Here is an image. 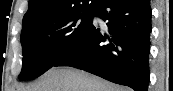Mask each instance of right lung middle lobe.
<instances>
[{"instance_id": "dd1d6c3e", "label": "right lung middle lobe", "mask_w": 173, "mask_h": 91, "mask_svg": "<svg viewBox=\"0 0 173 91\" xmlns=\"http://www.w3.org/2000/svg\"><path fill=\"white\" fill-rule=\"evenodd\" d=\"M94 8L36 23L22 29L20 80L36 78L71 51L92 25Z\"/></svg>"}]
</instances>
